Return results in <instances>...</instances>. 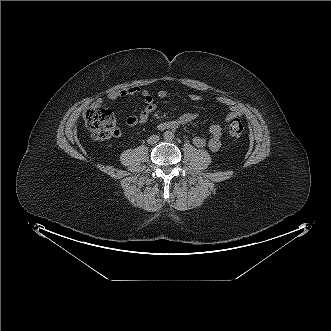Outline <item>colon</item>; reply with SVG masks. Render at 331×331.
Here are the masks:
<instances>
[{
    "label": "colon",
    "mask_w": 331,
    "mask_h": 331,
    "mask_svg": "<svg viewBox=\"0 0 331 331\" xmlns=\"http://www.w3.org/2000/svg\"><path fill=\"white\" fill-rule=\"evenodd\" d=\"M83 119L96 141H105L119 134L116 116L110 109L90 106L85 110ZM228 129L231 136L239 138L244 132V125L235 118L230 121Z\"/></svg>",
    "instance_id": "obj_1"
}]
</instances>
